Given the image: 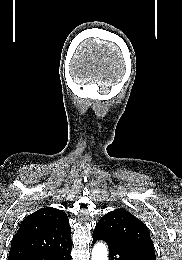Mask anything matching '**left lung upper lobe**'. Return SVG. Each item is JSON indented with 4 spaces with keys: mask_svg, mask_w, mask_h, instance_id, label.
<instances>
[{
    "mask_svg": "<svg viewBox=\"0 0 182 260\" xmlns=\"http://www.w3.org/2000/svg\"><path fill=\"white\" fill-rule=\"evenodd\" d=\"M95 230L105 232L155 253L146 225L124 209L118 208L104 215L97 223Z\"/></svg>",
    "mask_w": 182,
    "mask_h": 260,
    "instance_id": "obj_1",
    "label": "left lung upper lobe"
}]
</instances>
